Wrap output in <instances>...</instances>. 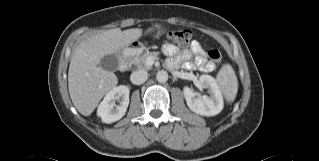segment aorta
<instances>
[{"label":"aorta","instance_id":"762f6f07","mask_svg":"<svg viewBox=\"0 0 319 161\" xmlns=\"http://www.w3.org/2000/svg\"><path fill=\"white\" fill-rule=\"evenodd\" d=\"M156 79L160 83H165L168 80V73L164 70L158 71Z\"/></svg>","mask_w":319,"mask_h":161}]
</instances>
